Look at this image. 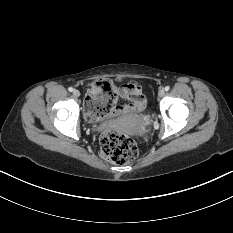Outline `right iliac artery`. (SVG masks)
Returning <instances> with one entry per match:
<instances>
[{
  "label": "right iliac artery",
  "mask_w": 233,
  "mask_h": 233,
  "mask_svg": "<svg viewBox=\"0 0 233 233\" xmlns=\"http://www.w3.org/2000/svg\"><path fill=\"white\" fill-rule=\"evenodd\" d=\"M68 90H69V92H72V91H73V88H72V87H69Z\"/></svg>",
  "instance_id": "obj_1"
}]
</instances>
